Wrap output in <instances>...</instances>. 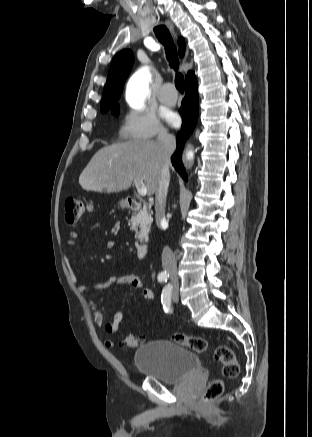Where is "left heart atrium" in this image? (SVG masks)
Wrapping results in <instances>:
<instances>
[{"instance_id":"1","label":"left heart atrium","mask_w":312,"mask_h":437,"mask_svg":"<svg viewBox=\"0 0 312 437\" xmlns=\"http://www.w3.org/2000/svg\"><path fill=\"white\" fill-rule=\"evenodd\" d=\"M166 119L168 120L169 123L171 124H176L179 120L177 114L170 112L167 114Z\"/></svg>"}]
</instances>
